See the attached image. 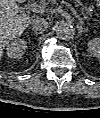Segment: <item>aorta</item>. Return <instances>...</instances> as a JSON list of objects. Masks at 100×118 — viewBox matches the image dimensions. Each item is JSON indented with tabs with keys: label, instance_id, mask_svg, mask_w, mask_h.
<instances>
[{
	"label": "aorta",
	"instance_id": "762f6f07",
	"mask_svg": "<svg viewBox=\"0 0 100 118\" xmlns=\"http://www.w3.org/2000/svg\"><path fill=\"white\" fill-rule=\"evenodd\" d=\"M73 27L65 22H61L56 26V35L59 39L66 40L73 35Z\"/></svg>",
	"mask_w": 100,
	"mask_h": 118
}]
</instances>
